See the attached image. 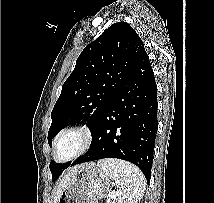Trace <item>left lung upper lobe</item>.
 I'll return each mask as SVG.
<instances>
[{
  "label": "left lung upper lobe",
  "instance_id": "left-lung-upper-lobe-1",
  "mask_svg": "<svg viewBox=\"0 0 214 203\" xmlns=\"http://www.w3.org/2000/svg\"><path fill=\"white\" fill-rule=\"evenodd\" d=\"M144 53L142 40L126 22L114 23L87 45L51 112L48 143L70 125H86L93 135L101 115ZM69 165L51 163L52 181Z\"/></svg>",
  "mask_w": 214,
  "mask_h": 203
}]
</instances>
